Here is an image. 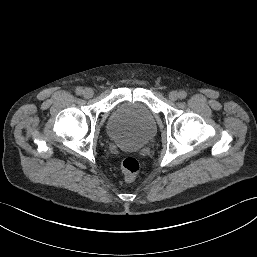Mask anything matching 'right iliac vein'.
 Segmentation results:
<instances>
[{
  "mask_svg": "<svg viewBox=\"0 0 257 257\" xmlns=\"http://www.w3.org/2000/svg\"><path fill=\"white\" fill-rule=\"evenodd\" d=\"M94 92L91 88H86L84 91H83V95L85 98H91L93 96Z\"/></svg>",
  "mask_w": 257,
  "mask_h": 257,
  "instance_id": "obj_1",
  "label": "right iliac vein"
}]
</instances>
